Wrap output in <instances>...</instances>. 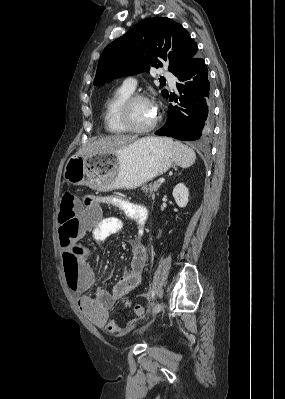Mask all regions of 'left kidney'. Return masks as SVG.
I'll use <instances>...</instances> for the list:
<instances>
[{
	"instance_id": "obj_1",
	"label": "left kidney",
	"mask_w": 285,
	"mask_h": 399,
	"mask_svg": "<svg viewBox=\"0 0 285 399\" xmlns=\"http://www.w3.org/2000/svg\"><path fill=\"white\" fill-rule=\"evenodd\" d=\"M172 194H173L176 204L180 208H184L187 206L189 191H188V188L183 183H179L178 185H176L173 189Z\"/></svg>"
}]
</instances>
